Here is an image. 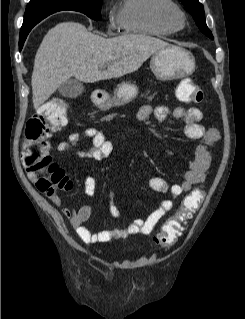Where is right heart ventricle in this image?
Wrapping results in <instances>:
<instances>
[{"label":"right heart ventricle","mask_w":245,"mask_h":319,"mask_svg":"<svg viewBox=\"0 0 245 319\" xmlns=\"http://www.w3.org/2000/svg\"><path fill=\"white\" fill-rule=\"evenodd\" d=\"M171 0H122L119 26L126 32L166 36L174 30L163 20L160 10Z\"/></svg>","instance_id":"e07e8e85"}]
</instances>
